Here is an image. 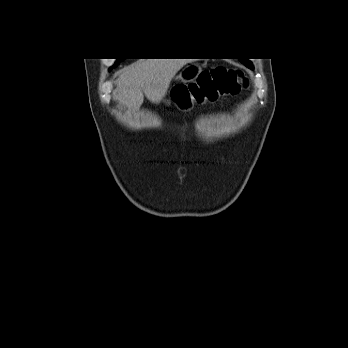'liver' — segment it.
I'll list each match as a JSON object with an SVG mask.
<instances>
[{
	"instance_id": "liver-1",
	"label": "liver",
	"mask_w": 348,
	"mask_h": 348,
	"mask_svg": "<svg viewBox=\"0 0 348 348\" xmlns=\"http://www.w3.org/2000/svg\"><path fill=\"white\" fill-rule=\"evenodd\" d=\"M188 59H140L124 68L115 90L116 99L129 109H138L144 94L152 103H160L170 82Z\"/></svg>"
}]
</instances>
